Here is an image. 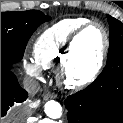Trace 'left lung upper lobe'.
<instances>
[{
    "label": "left lung upper lobe",
    "mask_w": 123,
    "mask_h": 123,
    "mask_svg": "<svg viewBox=\"0 0 123 123\" xmlns=\"http://www.w3.org/2000/svg\"><path fill=\"white\" fill-rule=\"evenodd\" d=\"M110 27V46L105 68L99 75L101 79L109 81L123 74V23L107 15Z\"/></svg>",
    "instance_id": "5c2ea615"
}]
</instances>
